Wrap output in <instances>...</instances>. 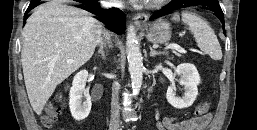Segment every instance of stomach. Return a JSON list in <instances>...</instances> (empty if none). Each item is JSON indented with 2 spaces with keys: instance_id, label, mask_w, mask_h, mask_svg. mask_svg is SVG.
<instances>
[{
  "instance_id": "stomach-1",
  "label": "stomach",
  "mask_w": 257,
  "mask_h": 130,
  "mask_svg": "<svg viewBox=\"0 0 257 130\" xmlns=\"http://www.w3.org/2000/svg\"><path fill=\"white\" fill-rule=\"evenodd\" d=\"M172 35L171 25L160 19L152 23L146 31V38L151 43H166Z\"/></svg>"
}]
</instances>
